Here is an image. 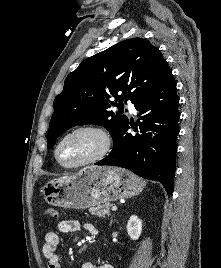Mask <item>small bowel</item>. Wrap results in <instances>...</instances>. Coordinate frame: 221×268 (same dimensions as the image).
<instances>
[{
	"instance_id": "small-bowel-1",
	"label": "small bowel",
	"mask_w": 221,
	"mask_h": 268,
	"mask_svg": "<svg viewBox=\"0 0 221 268\" xmlns=\"http://www.w3.org/2000/svg\"><path fill=\"white\" fill-rule=\"evenodd\" d=\"M80 228V224L75 220H61L58 222V230L62 233L75 232ZM84 229L91 235L98 233L97 228L91 224L86 223ZM59 234L57 231L50 230L46 232L43 244V255L47 259V268H62L60 263V255L58 253ZM81 268H114L107 263H84Z\"/></svg>"
}]
</instances>
